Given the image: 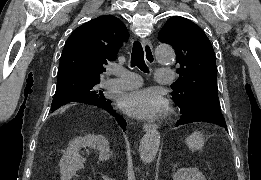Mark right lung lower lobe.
I'll list each match as a JSON object with an SVG mask.
<instances>
[{"label": "right lung lower lobe", "instance_id": "right-lung-lower-lobe-1", "mask_svg": "<svg viewBox=\"0 0 261 180\" xmlns=\"http://www.w3.org/2000/svg\"><path fill=\"white\" fill-rule=\"evenodd\" d=\"M76 102H82V103L95 105V106H98L100 108L107 110L113 116H116L117 122L122 127V129L125 131L126 121L121 116L117 115V113L112 109L110 102L108 100H106V99H101V100H96V101H82V100H80V101H76Z\"/></svg>", "mask_w": 261, "mask_h": 180}]
</instances>
